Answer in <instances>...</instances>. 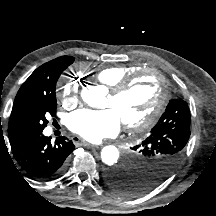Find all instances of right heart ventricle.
<instances>
[{"label": "right heart ventricle", "mask_w": 216, "mask_h": 216, "mask_svg": "<svg viewBox=\"0 0 216 216\" xmlns=\"http://www.w3.org/2000/svg\"><path fill=\"white\" fill-rule=\"evenodd\" d=\"M139 70V66L132 64L109 65L97 70L95 78L101 84L107 86L108 88H112L122 79Z\"/></svg>", "instance_id": "e07e8e85"}]
</instances>
